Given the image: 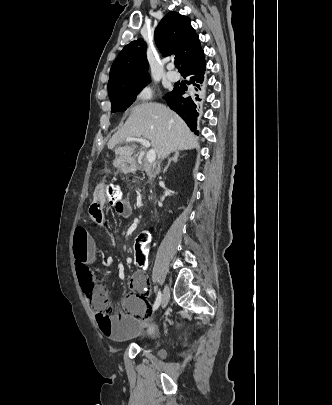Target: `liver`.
<instances>
[{"label": "liver", "instance_id": "liver-1", "mask_svg": "<svg viewBox=\"0 0 332 405\" xmlns=\"http://www.w3.org/2000/svg\"><path fill=\"white\" fill-rule=\"evenodd\" d=\"M128 137L149 140L158 159L166 158L175 151L190 150L199 146L198 139L185 122L173 111L158 103H142L131 108L125 125L108 142V148L123 142ZM134 148L118 147L115 154L120 158L131 156Z\"/></svg>", "mask_w": 332, "mask_h": 405}]
</instances>
